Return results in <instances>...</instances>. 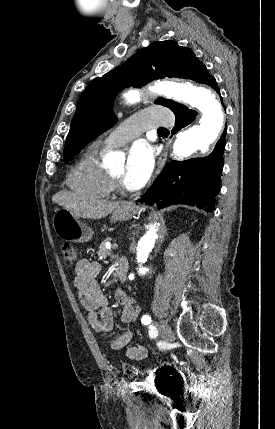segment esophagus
Instances as JSON below:
<instances>
[{
  "instance_id": "esophagus-1",
  "label": "esophagus",
  "mask_w": 275,
  "mask_h": 429,
  "mask_svg": "<svg viewBox=\"0 0 275 429\" xmlns=\"http://www.w3.org/2000/svg\"><path fill=\"white\" fill-rule=\"evenodd\" d=\"M166 158H167V152L163 151L161 153V155L159 156V159H158L157 168H156V171H155V176L156 177L160 174V172H161V170H162V168H163V166H164V164L166 162Z\"/></svg>"
}]
</instances>
